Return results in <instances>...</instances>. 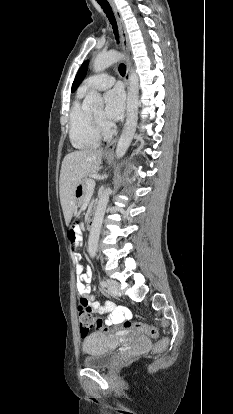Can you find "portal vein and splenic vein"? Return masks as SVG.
<instances>
[{
    "label": "portal vein and splenic vein",
    "mask_w": 233,
    "mask_h": 414,
    "mask_svg": "<svg viewBox=\"0 0 233 414\" xmlns=\"http://www.w3.org/2000/svg\"><path fill=\"white\" fill-rule=\"evenodd\" d=\"M87 185H88V188H89L90 190H93V189H94V187H95V181H94L93 179H91V180H89V181L87 182Z\"/></svg>",
    "instance_id": "18ae733b"
}]
</instances>
